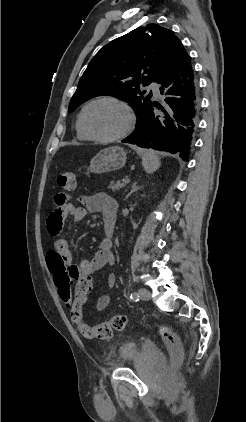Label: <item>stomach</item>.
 Here are the masks:
<instances>
[{"instance_id": "obj_1", "label": "stomach", "mask_w": 246, "mask_h": 422, "mask_svg": "<svg viewBox=\"0 0 246 422\" xmlns=\"http://www.w3.org/2000/svg\"><path fill=\"white\" fill-rule=\"evenodd\" d=\"M127 152L119 147L105 148L97 153L90 162L88 170L92 173H107L124 167Z\"/></svg>"}]
</instances>
